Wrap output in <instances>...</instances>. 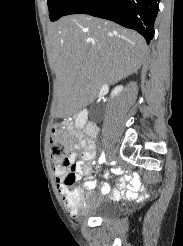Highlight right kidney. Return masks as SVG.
Segmentation results:
<instances>
[{"mask_svg":"<svg viewBox=\"0 0 183 246\" xmlns=\"http://www.w3.org/2000/svg\"><path fill=\"white\" fill-rule=\"evenodd\" d=\"M122 90H123V86L121 85L115 87L111 92V97L117 96ZM87 116H88L87 110H83L76 119V123H75L76 127H82L87 121Z\"/></svg>","mask_w":183,"mask_h":246,"instance_id":"right-kidney-1","label":"right kidney"}]
</instances>
